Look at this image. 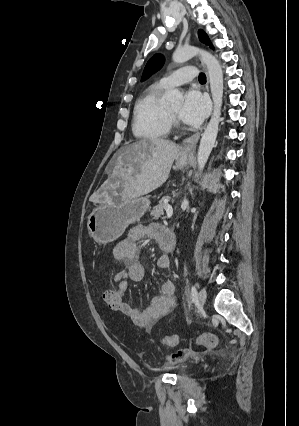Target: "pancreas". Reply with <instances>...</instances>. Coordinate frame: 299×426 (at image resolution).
<instances>
[{
    "label": "pancreas",
    "mask_w": 299,
    "mask_h": 426,
    "mask_svg": "<svg viewBox=\"0 0 299 426\" xmlns=\"http://www.w3.org/2000/svg\"><path fill=\"white\" fill-rule=\"evenodd\" d=\"M168 200H169V197H168V196L163 197V198L159 201V204H158V205H156V206L153 208V210L151 211V216H153V217H154V219H158V218H160V217L164 214V208H165V205L167 204Z\"/></svg>",
    "instance_id": "cf45deb5"
}]
</instances>
